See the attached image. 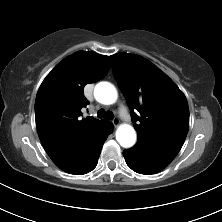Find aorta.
<instances>
[{"label":"aorta","instance_id":"1","mask_svg":"<svg viewBox=\"0 0 222 222\" xmlns=\"http://www.w3.org/2000/svg\"><path fill=\"white\" fill-rule=\"evenodd\" d=\"M94 96L101 104L110 105L117 100V91L112 84L100 82L95 86ZM116 140L122 147H132L136 141L134 128L128 124L120 125L116 131Z\"/></svg>","mask_w":222,"mask_h":222}]
</instances>
